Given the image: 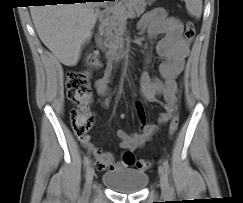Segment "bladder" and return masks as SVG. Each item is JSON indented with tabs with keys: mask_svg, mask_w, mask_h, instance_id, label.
I'll return each instance as SVG.
<instances>
[{
	"mask_svg": "<svg viewBox=\"0 0 243 203\" xmlns=\"http://www.w3.org/2000/svg\"><path fill=\"white\" fill-rule=\"evenodd\" d=\"M148 180L146 172L131 168H118L102 175L106 186L123 194L139 192L147 185Z\"/></svg>",
	"mask_w": 243,
	"mask_h": 203,
	"instance_id": "obj_1",
	"label": "bladder"
}]
</instances>
